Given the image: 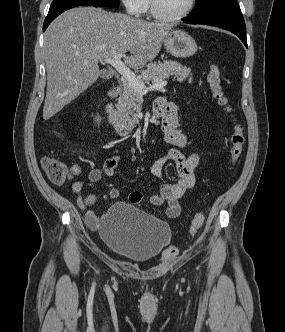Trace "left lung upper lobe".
Wrapping results in <instances>:
<instances>
[{"label": "left lung upper lobe", "instance_id": "obj_1", "mask_svg": "<svg viewBox=\"0 0 285 332\" xmlns=\"http://www.w3.org/2000/svg\"><path fill=\"white\" fill-rule=\"evenodd\" d=\"M235 13H241L236 0H196L195 9L189 17L209 18Z\"/></svg>", "mask_w": 285, "mask_h": 332}]
</instances>
